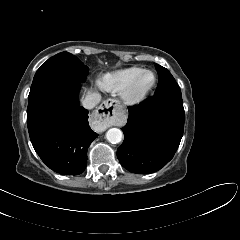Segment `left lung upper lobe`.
I'll use <instances>...</instances> for the list:
<instances>
[{"mask_svg":"<svg viewBox=\"0 0 240 240\" xmlns=\"http://www.w3.org/2000/svg\"><path fill=\"white\" fill-rule=\"evenodd\" d=\"M156 69L159 74V84L155 94L162 93H181L178 84L171 73L164 67L156 64Z\"/></svg>","mask_w":240,"mask_h":240,"instance_id":"left-lung-upper-lobe-1","label":"left lung upper lobe"}]
</instances>
